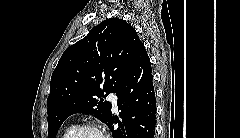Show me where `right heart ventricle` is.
Listing matches in <instances>:
<instances>
[{
    "label": "right heart ventricle",
    "instance_id": "obj_1",
    "mask_svg": "<svg viewBox=\"0 0 240 138\" xmlns=\"http://www.w3.org/2000/svg\"><path fill=\"white\" fill-rule=\"evenodd\" d=\"M75 129V127L71 126L69 127L66 132L64 133V137L63 138H67L68 135Z\"/></svg>",
    "mask_w": 240,
    "mask_h": 138
}]
</instances>
